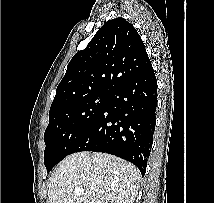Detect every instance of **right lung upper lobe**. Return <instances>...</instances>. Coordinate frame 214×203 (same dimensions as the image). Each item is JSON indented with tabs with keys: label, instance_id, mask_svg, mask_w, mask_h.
<instances>
[{
	"label": "right lung upper lobe",
	"instance_id": "right-lung-upper-lobe-1",
	"mask_svg": "<svg viewBox=\"0 0 214 203\" xmlns=\"http://www.w3.org/2000/svg\"><path fill=\"white\" fill-rule=\"evenodd\" d=\"M151 67L145 45L133 25L121 17L109 20L69 62L50 111L90 94H109Z\"/></svg>",
	"mask_w": 214,
	"mask_h": 203
}]
</instances>
